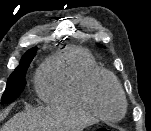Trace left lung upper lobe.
I'll list each match as a JSON object with an SVG mask.
<instances>
[{
  "instance_id": "5c2ea615",
  "label": "left lung upper lobe",
  "mask_w": 151,
  "mask_h": 131,
  "mask_svg": "<svg viewBox=\"0 0 151 131\" xmlns=\"http://www.w3.org/2000/svg\"><path fill=\"white\" fill-rule=\"evenodd\" d=\"M99 47H103L101 44H98Z\"/></svg>"
}]
</instances>
